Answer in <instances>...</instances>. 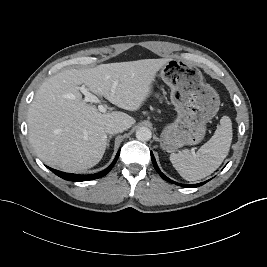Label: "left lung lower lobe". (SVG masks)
Instances as JSON below:
<instances>
[{
  "label": "left lung lower lobe",
  "mask_w": 267,
  "mask_h": 267,
  "mask_svg": "<svg viewBox=\"0 0 267 267\" xmlns=\"http://www.w3.org/2000/svg\"><path fill=\"white\" fill-rule=\"evenodd\" d=\"M151 159H152V162H153V165H154V168L156 169V171L159 173V175L166 181L170 182V183H174L176 185H179V186H183V187H188V188H195V187H199L203 184H205L206 182H202V183H198V184H192V185H185V184H180V183H176L174 181H172L171 179H169L168 177H166L161 171L160 169L158 168L157 166V163L155 161V158H154V155L153 153L151 152Z\"/></svg>",
  "instance_id": "0a47b994"
}]
</instances>
